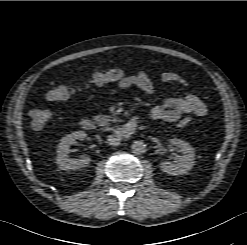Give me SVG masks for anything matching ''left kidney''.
Masks as SVG:
<instances>
[{
  "label": "left kidney",
  "instance_id": "5707ae66",
  "mask_svg": "<svg viewBox=\"0 0 247 245\" xmlns=\"http://www.w3.org/2000/svg\"><path fill=\"white\" fill-rule=\"evenodd\" d=\"M169 142L179 148L182 155L176 156L174 162H162L161 170L174 176L186 174L194 166V148L189 143L177 138H171Z\"/></svg>",
  "mask_w": 247,
  "mask_h": 245
}]
</instances>
